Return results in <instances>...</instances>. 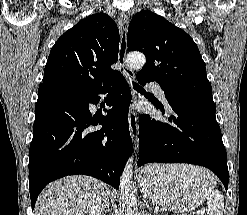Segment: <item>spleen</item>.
<instances>
[{"label": "spleen", "mask_w": 247, "mask_h": 215, "mask_svg": "<svg viewBox=\"0 0 247 215\" xmlns=\"http://www.w3.org/2000/svg\"><path fill=\"white\" fill-rule=\"evenodd\" d=\"M214 188V187H213ZM211 189L208 195V214L223 215L224 199L219 190Z\"/></svg>", "instance_id": "obj_1"}]
</instances>
